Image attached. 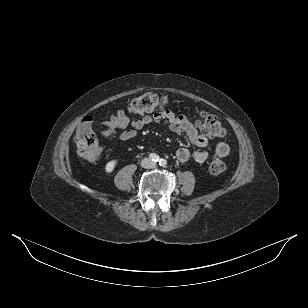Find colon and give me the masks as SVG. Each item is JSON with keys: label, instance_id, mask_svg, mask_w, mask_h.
Here are the masks:
<instances>
[{"label": "colon", "instance_id": "colon-1", "mask_svg": "<svg viewBox=\"0 0 308 308\" xmlns=\"http://www.w3.org/2000/svg\"><path fill=\"white\" fill-rule=\"evenodd\" d=\"M171 102L167 96L154 93H145L133 99L129 106L130 114H145L152 112L171 111ZM196 126L204 135L210 138H222L226 130L222 123L213 115L208 113H199L195 120ZM103 138L114 140L117 137V131L114 128L103 127L100 130ZM75 144L78 154L87 161H96L101 155L98 138L94 132V121L91 116H86L78 125L75 133ZM227 165L224 158L215 155L209 165V170L214 175L225 172Z\"/></svg>", "mask_w": 308, "mask_h": 308}]
</instances>
